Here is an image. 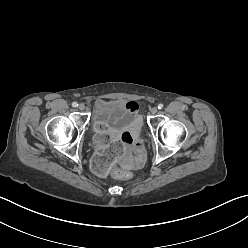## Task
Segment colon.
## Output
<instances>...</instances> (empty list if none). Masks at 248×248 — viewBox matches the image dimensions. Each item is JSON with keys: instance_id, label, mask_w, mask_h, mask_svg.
<instances>
[{"instance_id": "1", "label": "colon", "mask_w": 248, "mask_h": 248, "mask_svg": "<svg viewBox=\"0 0 248 248\" xmlns=\"http://www.w3.org/2000/svg\"><path fill=\"white\" fill-rule=\"evenodd\" d=\"M95 133L98 136L97 142L100 145L101 154L96 155L92 159V164L96 174L107 177L111 175L117 179H130L131 173L121 168H113L111 170L110 164L115 160V154L122 148V143L118 139L110 140L108 127L104 123H99L95 127ZM127 136V134H123Z\"/></svg>"}]
</instances>
